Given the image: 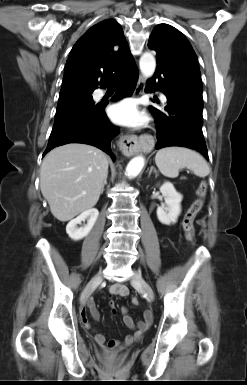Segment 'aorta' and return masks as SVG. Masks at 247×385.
Listing matches in <instances>:
<instances>
[{"mask_svg": "<svg viewBox=\"0 0 247 385\" xmlns=\"http://www.w3.org/2000/svg\"><path fill=\"white\" fill-rule=\"evenodd\" d=\"M140 70L144 77H151L156 68V60L150 52H145L139 60ZM145 163L143 156L134 157L127 165L126 174L128 177H136L142 170Z\"/></svg>", "mask_w": 247, "mask_h": 385, "instance_id": "1", "label": "aorta"}]
</instances>
